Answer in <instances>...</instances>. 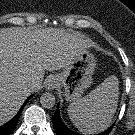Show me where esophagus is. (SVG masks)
I'll return each mask as SVG.
<instances>
[{
	"instance_id": "1",
	"label": "esophagus",
	"mask_w": 135,
	"mask_h": 135,
	"mask_svg": "<svg viewBox=\"0 0 135 135\" xmlns=\"http://www.w3.org/2000/svg\"><path fill=\"white\" fill-rule=\"evenodd\" d=\"M57 85H58V82H57L56 78L50 77L46 80L45 87L48 90H53L57 87Z\"/></svg>"
}]
</instances>
